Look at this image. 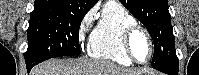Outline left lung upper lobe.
Instances as JSON below:
<instances>
[{"label": "left lung upper lobe", "instance_id": "5c2ea615", "mask_svg": "<svg viewBox=\"0 0 199 75\" xmlns=\"http://www.w3.org/2000/svg\"><path fill=\"white\" fill-rule=\"evenodd\" d=\"M148 30L154 43L152 67L176 61L175 38L167 0H120Z\"/></svg>", "mask_w": 199, "mask_h": 75}]
</instances>
